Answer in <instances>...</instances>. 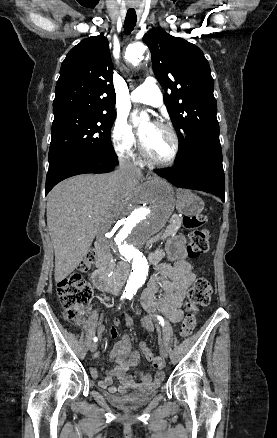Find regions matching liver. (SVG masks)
I'll return each mask as SVG.
<instances>
[{"label":"liver","mask_w":277,"mask_h":438,"mask_svg":"<svg viewBox=\"0 0 277 438\" xmlns=\"http://www.w3.org/2000/svg\"><path fill=\"white\" fill-rule=\"evenodd\" d=\"M141 176L121 182L112 174H81L60 182L47 200V226L55 254V282H62L78 268L98 232L110 230L127 205V188Z\"/></svg>","instance_id":"6515ba94"}]
</instances>
